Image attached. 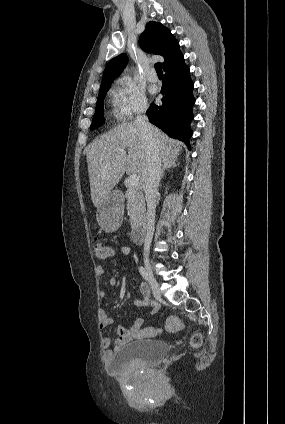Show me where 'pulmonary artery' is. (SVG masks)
Instances as JSON below:
<instances>
[{
    "label": "pulmonary artery",
    "instance_id": "e3ab8cb5",
    "mask_svg": "<svg viewBox=\"0 0 285 424\" xmlns=\"http://www.w3.org/2000/svg\"><path fill=\"white\" fill-rule=\"evenodd\" d=\"M147 78L150 82H156L158 80V76L156 75V73L154 71H150L147 74Z\"/></svg>",
    "mask_w": 285,
    "mask_h": 424
}]
</instances>
